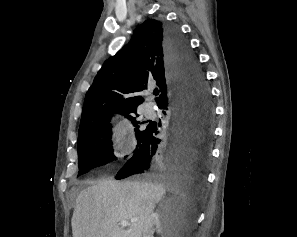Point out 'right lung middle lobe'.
<instances>
[{"label":"right lung middle lobe","instance_id":"1","mask_svg":"<svg viewBox=\"0 0 297 237\" xmlns=\"http://www.w3.org/2000/svg\"><path fill=\"white\" fill-rule=\"evenodd\" d=\"M131 113L136 114V112ZM128 114L129 113H125L124 115L127 117ZM128 118L133 122V126L136 127L135 131L139 145L146 136V133L150 128V124L146 127V129L141 130L140 126L145 122L137 120L132 116H129ZM109 121L110 118H107L88 127L81 134H78V175L83 174L94 166H100L105 164L107 161L116 159L112 149V126Z\"/></svg>","mask_w":297,"mask_h":237}]
</instances>
